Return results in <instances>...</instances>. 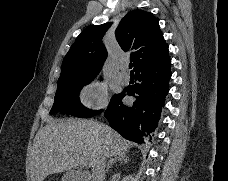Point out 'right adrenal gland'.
Returning <instances> with one entry per match:
<instances>
[{"label": "right adrenal gland", "instance_id": "right-adrenal-gland-1", "mask_svg": "<svg viewBox=\"0 0 228 181\" xmlns=\"http://www.w3.org/2000/svg\"><path fill=\"white\" fill-rule=\"evenodd\" d=\"M128 161L129 157H127V155H122V157H113V159H110L109 163H107L106 171H110L114 163H120V165H122V163H128Z\"/></svg>", "mask_w": 228, "mask_h": 181}]
</instances>
